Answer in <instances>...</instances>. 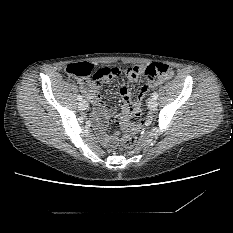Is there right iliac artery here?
I'll return each mask as SVG.
<instances>
[{"label": "right iliac artery", "instance_id": "82829eb1", "mask_svg": "<svg viewBox=\"0 0 233 233\" xmlns=\"http://www.w3.org/2000/svg\"><path fill=\"white\" fill-rule=\"evenodd\" d=\"M77 99H78L79 101H81V100L83 99V97H82L81 95H78V96H77Z\"/></svg>", "mask_w": 233, "mask_h": 233}]
</instances>
